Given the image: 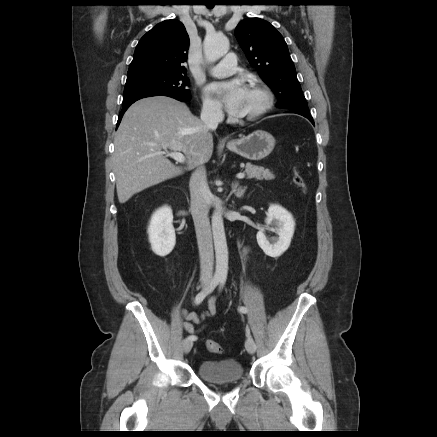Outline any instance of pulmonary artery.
I'll return each instance as SVG.
<instances>
[{"mask_svg":"<svg viewBox=\"0 0 437 437\" xmlns=\"http://www.w3.org/2000/svg\"><path fill=\"white\" fill-rule=\"evenodd\" d=\"M237 60L234 53H228L222 61L210 69V74L214 77H226L235 73Z\"/></svg>","mask_w":437,"mask_h":437,"instance_id":"obj_1","label":"pulmonary artery"}]
</instances>
